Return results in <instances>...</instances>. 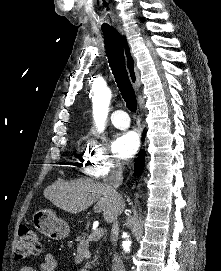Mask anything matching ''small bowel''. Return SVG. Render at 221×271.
Returning a JSON list of instances; mask_svg holds the SVG:
<instances>
[{
	"label": "small bowel",
	"mask_w": 221,
	"mask_h": 271,
	"mask_svg": "<svg viewBox=\"0 0 221 271\" xmlns=\"http://www.w3.org/2000/svg\"><path fill=\"white\" fill-rule=\"evenodd\" d=\"M57 268V259L54 253H47L38 265V271H56ZM20 271H36V269L31 266L27 265L20 269Z\"/></svg>",
	"instance_id": "obj_1"
}]
</instances>
